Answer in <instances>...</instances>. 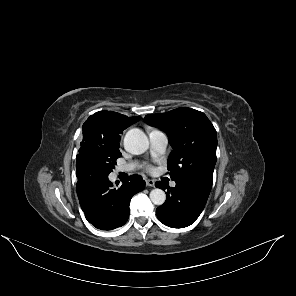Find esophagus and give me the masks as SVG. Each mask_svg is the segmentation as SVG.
Masks as SVG:
<instances>
[{"label":"esophagus","mask_w":296,"mask_h":296,"mask_svg":"<svg viewBox=\"0 0 296 296\" xmlns=\"http://www.w3.org/2000/svg\"><path fill=\"white\" fill-rule=\"evenodd\" d=\"M146 184H147V186L154 187L155 186V181L152 180V179H147Z\"/></svg>","instance_id":"obj_1"}]
</instances>
